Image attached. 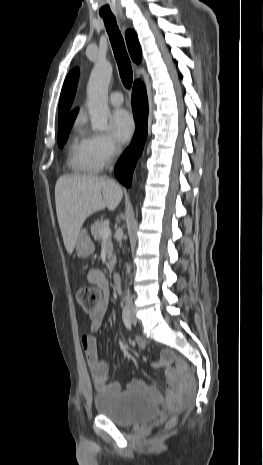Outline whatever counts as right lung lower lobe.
<instances>
[{"instance_id": "right-lung-lower-lobe-1", "label": "right lung lower lobe", "mask_w": 263, "mask_h": 465, "mask_svg": "<svg viewBox=\"0 0 263 465\" xmlns=\"http://www.w3.org/2000/svg\"><path fill=\"white\" fill-rule=\"evenodd\" d=\"M132 108L137 125L135 136L114 168L117 179L126 187L131 186L133 170L143 151L147 137L148 102L145 86L140 80H137L133 85Z\"/></svg>"}]
</instances>
